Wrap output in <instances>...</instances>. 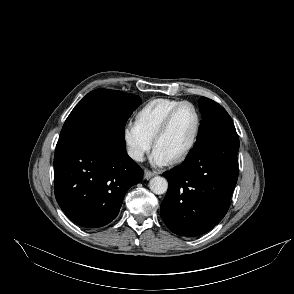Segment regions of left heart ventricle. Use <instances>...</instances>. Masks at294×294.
<instances>
[{"label": "left heart ventricle", "mask_w": 294, "mask_h": 294, "mask_svg": "<svg viewBox=\"0 0 294 294\" xmlns=\"http://www.w3.org/2000/svg\"><path fill=\"white\" fill-rule=\"evenodd\" d=\"M196 117L191 107H182L174 116L167 132L158 140L155 148L171 160L180 155L192 139Z\"/></svg>", "instance_id": "1"}]
</instances>
